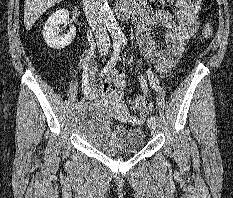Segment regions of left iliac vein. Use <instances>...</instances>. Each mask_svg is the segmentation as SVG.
Returning <instances> with one entry per match:
<instances>
[{
    "label": "left iliac vein",
    "instance_id": "4c4485c4",
    "mask_svg": "<svg viewBox=\"0 0 233 198\" xmlns=\"http://www.w3.org/2000/svg\"><path fill=\"white\" fill-rule=\"evenodd\" d=\"M147 125L151 131H155L156 129V122L151 120L150 118L147 121Z\"/></svg>",
    "mask_w": 233,
    "mask_h": 198
}]
</instances>
